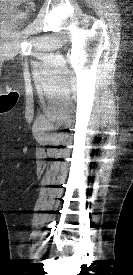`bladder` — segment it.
<instances>
[{"label": "bladder", "instance_id": "obj_1", "mask_svg": "<svg viewBox=\"0 0 133 275\" xmlns=\"http://www.w3.org/2000/svg\"><path fill=\"white\" fill-rule=\"evenodd\" d=\"M17 0H0V21H5L11 26L24 22L28 14L16 7H13ZM2 3H6L3 7Z\"/></svg>", "mask_w": 133, "mask_h": 275}]
</instances>
